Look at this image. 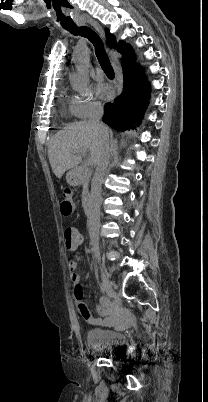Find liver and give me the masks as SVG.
Wrapping results in <instances>:
<instances>
[{"label":"liver","mask_w":208,"mask_h":402,"mask_svg":"<svg viewBox=\"0 0 208 402\" xmlns=\"http://www.w3.org/2000/svg\"><path fill=\"white\" fill-rule=\"evenodd\" d=\"M108 128H98L95 124H88V122H75L69 124L64 130L57 132L49 142L48 158L51 168L56 178H62L66 170L77 168V156L83 150H90V156L97 164L100 158V150L109 140Z\"/></svg>","instance_id":"6515ba94"}]
</instances>
